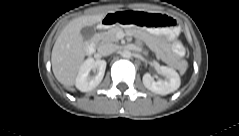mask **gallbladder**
I'll return each mask as SVG.
<instances>
[{"label":"gallbladder","instance_id":"bac80fb5","mask_svg":"<svg viewBox=\"0 0 239 136\" xmlns=\"http://www.w3.org/2000/svg\"><path fill=\"white\" fill-rule=\"evenodd\" d=\"M81 35L84 39L89 40L95 34V29L93 26H85L81 29Z\"/></svg>","mask_w":239,"mask_h":136}]
</instances>
